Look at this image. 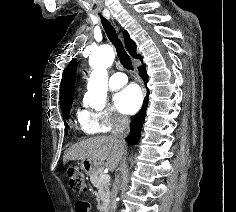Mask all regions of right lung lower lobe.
Segmentation results:
<instances>
[{"mask_svg": "<svg viewBox=\"0 0 236 212\" xmlns=\"http://www.w3.org/2000/svg\"><path fill=\"white\" fill-rule=\"evenodd\" d=\"M145 67H146L145 64H142V66L138 68V71H139L140 76L143 78L144 82L147 83L148 75L146 73ZM148 94L149 92H147V96L145 97L141 110L136 114V116L131 121L130 134L125 138L128 144L134 145L138 142V139L140 137V133L142 130V126L145 120L146 109L148 106Z\"/></svg>", "mask_w": 236, "mask_h": 212, "instance_id": "right-lung-lower-lobe-1", "label": "right lung lower lobe"}]
</instances>
